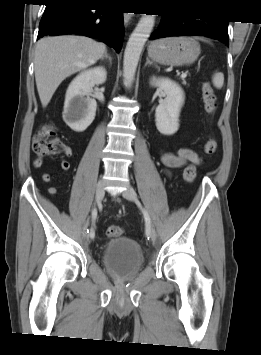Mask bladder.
Instances as JSON below:
<instances>
[{
    "label": "bladder",
    "mask_w": 261,
    "mask_h": 355,
    "mask_svg": "<svg viewBox=\"0 0 261 355\" xmlns=\"http://www.w3.org/2000/svg\"><path fill=\"white\" fill-rule=\"evenodd\" d=\"M101 257L105 268L124 280L135 278L144 260L139 244L133 239L121 236L105 244Z\"/></svg>",
    "instance_id": "bladder-1"
}]
</instances>
